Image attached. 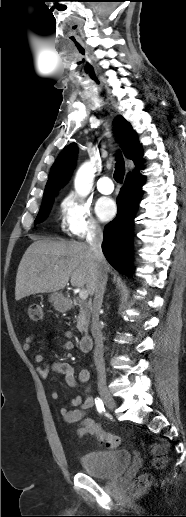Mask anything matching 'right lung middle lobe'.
Here are the masks:
<instances>
[{"label": "right lung middle lobe", "instance_id": "dd1d6c3e", "mask_svg": "<svg viewBox=\"0 0 186 517\" xmlns=\"http://www.w3.org/2000/svg\"><path fill=\"white\" fill-rule=\"evenodd\" d=\"M54 194H56V192L50 193V194H48L47 196H45L43 198L40 211H39V213H38V215H37V217L35 219V223L42 222L46 218V216L48 215L49 210L51 209V206H52V203H53Z\"/></svg>", "mask_w": 186, "mask_h": 517}]
</instances>
